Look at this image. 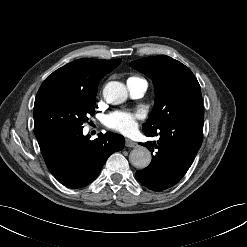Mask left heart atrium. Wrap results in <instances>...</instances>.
<instances>
[{
    "mask_svg": "<svg viewBox=\"0 0 247 247\" xmlns=\"http://www.w3.org/2000/svg\"><path fill=\"white\" fill-rule=\"evenodd\" d=\"M140 118L141 115L139 113L115 111L105 117L104 124L110 129L129 134L135 130L137 121Z\"/></svg>",
    "mask_w": 247,
    "mask_h": 247,
    "instance_id": "obj_1",
    "label": "left heart atrium"
}]
</instances>
